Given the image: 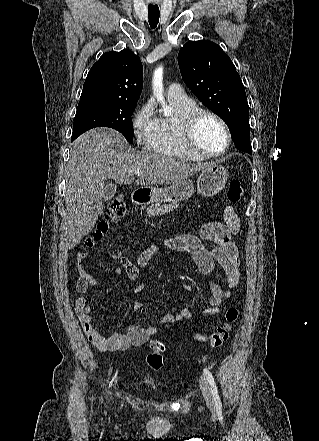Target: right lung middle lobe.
Here are the masks:
<instances>
[{
    "label": "right lung middle lobe",
    "instance_id": "1",
    "mask_svg": "<svg viewBox=\"0 0 319 441\" xmlns=\"http://www.w3.org/2000/svg\"><path fill=\"white\" fill-rule=\"evenodd\" d=\"M137 103L109 100H80L74 118L71 141L95 127H110L133 142L131 115Z\"/></svg>",
    "mask_w": 319,
    "mask_h": 441
}]
</instances>
